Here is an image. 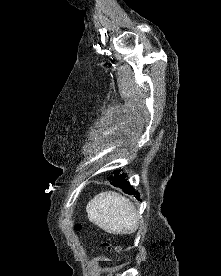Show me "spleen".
I'll list each match as a JSON object with an SVG mask.
<instances>
[{
    "mask_svg": "<svg viewBox=\"0 0 221 276\" xmlns=\"http://www.w3.org/2000/svg\"><path fill=\"white\" fill-rule=\"evenodd\" d=\"M86 211L89 221L109 234H132L138 229L134 204L114 191L96 195L88 202Z\"/></svg>",
    "mask_w": 221,
    "mask_h": 276,
    "instance_id": "obj_1",
    "label": "spleen"
}]
</instances>
